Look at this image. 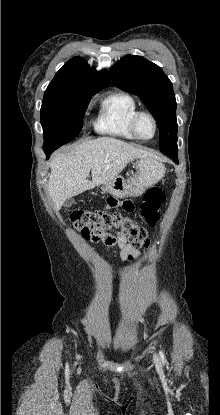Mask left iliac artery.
<instances>
[{
  "mask_svg": "<svg viewBox=\"0 0 220 415\" xmlns=\"http://www.w3.org/2000/svg\"><path fill=\"white\" fill-rule=\"evenodd\" d=\"M159 355H160L162 363H165V354L162 350L159 351Z\"/></svg>",
  "mask_w": 220,
  "mask_h": 415,
  "instance_id": "44dca946",
  "label": "left iliac artery"
}]
</instances>
